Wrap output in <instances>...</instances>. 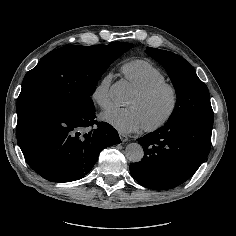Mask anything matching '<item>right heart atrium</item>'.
I'll list each match as a JSON object with an SVG mask.
<instances>
[{
    "instance_id": "d8ad5b80",
    "label": "right heart atrium",
    "mask_w": 236,
    "mask_h": 236,
    "mask_svg": "<svg viewBox=\"0 0 236 236\" xmlns=\"http://www.w3.org/2000/svg\"><path fill=\"white\" fill-rule=\"evenodd\" d=\"M113 78L112 72L106 73L92 89L91 98L101 108H108L112 104L110 88Z\"/></svg>"
}]
</instances>
